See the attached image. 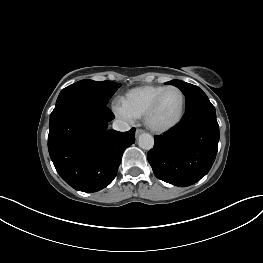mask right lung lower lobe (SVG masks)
I'll use <instances>...</instances> for the list:
<instances>
[{
    "label": "right lung lower lobe",
    "mask_w": 263,
    "mask_h": 263,
    "mask_svg": "<svg viewBox=\"0 0 263 263\" xmlns=\"http://www.w3.org/2000/svg\"><path fill=\"white\" fill-rule=\"evenodd\" d=\"M114 114L102 104L70 101L55 108L49 121L48 150L72 188L96 192L116 177L124 150L135 142V128L109 130Z\"/></svg>",
    "instance_id": "obj_1"
}]
</instances>
